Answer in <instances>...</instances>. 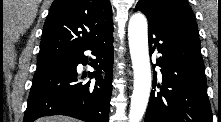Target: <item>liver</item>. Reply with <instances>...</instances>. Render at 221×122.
<instances>
[{
    "label": "liver",
    "mask_w": 221,
    "mask_h": 122,
    "mask_svg": "<svg viewBox=\"0 0 221 122\" xmlns=\"http://www.w3.org/2000/svg\"><path fill=\"white\" fill-rule=\"evenodd\" d=\"M37 122H75V119L66 116H49L40 118Z\"/></svg>",
    "instance_id": "obj_1"
}]
</instances>
